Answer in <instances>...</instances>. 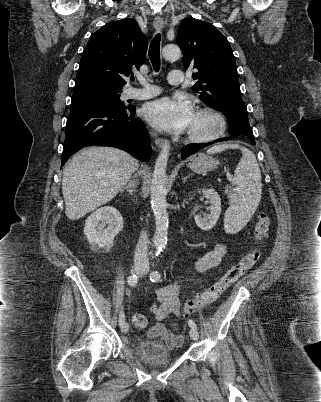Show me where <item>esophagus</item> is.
I'll use <instances>...</instances> for the list:
<instances>
[{
	"instance_id": "obj_1",
	"label": "esophagus",
	"mask_w": 321,
	"mask_h": 402,
	"mask_svg": "<svg viewBox=\"0 0 321 402\" xmlns=\"http://www.w3.org/2000/svg\"><path fill=\"white\" fill-rule=\"evenodd\" d=\"M154 27L156 30H160L163 27V19L161 17L155 18ZM155 143L158 148L168 147V141L163 138H156Z\"/></svg>"
}]
</instances>
